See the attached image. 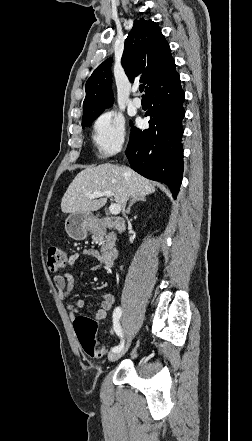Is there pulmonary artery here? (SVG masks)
Returning <instances> with one entry per match:
<instances>
[{"label": "pulmonary artery", "mask_w": 252, "mask_h": 441, "mask_svg": "<svg viewBox=\"0 0 252 441\" xmlns=\"http://www.w3.org/2000/svg\"><path fill=\"white\" fill-rule=\"evenodd\" d=\"M133 92H136V89L133 90ZM132 104L136 107V108H140L142 105V101L139 97H134L132 100Z\"/></svg>", "instance_id": "obj_1"}]
</instances>
